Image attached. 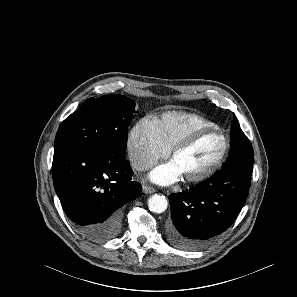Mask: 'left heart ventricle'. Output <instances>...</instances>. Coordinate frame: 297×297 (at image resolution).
I'll list each match as a JSON object with an SVG mask.
<instances>
[{
  "instance_id": "b2bd125f",
  "label": "left heart ventricle",
  "mask_w": 297,
  "mask_h": 297,
  "mask_svg": "<svg viewBox=\"0 0 297 297\" xmlns=\"http://www.w3.org/2000/svg\"><path fill=\"white\" fill-rule=\"evenodd\" d=\"M222 146V139L218 134H204L189 148L178 153L172 162L183 178L195 176L205 171L217 160Z\"/></svg>"
}]
</instances>
